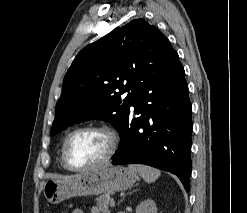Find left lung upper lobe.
<instances>
[{
    "label": "left lung upper lobe",
    "instance_id": "1",
    "mask_svg": "<svg viewBox=\"0 0 247 213\" xmlns=\"http://www.w3.org/2000/svg\"><path fill=\"white\" fill-rule=\"evenodd\" d=\"M174 51L169 40L144 19L117 27L86 46L64 77L51 134L91 119L107 121L120 132L137 88Z\"/></svg>",
    "mask_w": 247,
    "mask_h": 213
}]
</instances>
